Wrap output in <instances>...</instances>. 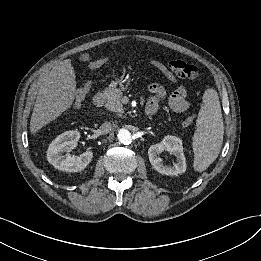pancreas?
Listing matches in <instances>:
<instances>
[{
	"label": "pancreas",
	"mask_w": 261,
	"mask_h": 261,
	"mask_svg": "<svg viewBox=\"0 0 261 261\" xmlns=\"http://www.w3.org/2000/svg\"><path fill=\"white\" fill-rule=\"evenodd\" d=\"M122 91V89H118L115 86H109L105 89V107L108 110L112 112L123 113V104L121 102V98L123 95Z\"/></svg>",
	"instance_id": "cf45deb5"
}]
</instances>
